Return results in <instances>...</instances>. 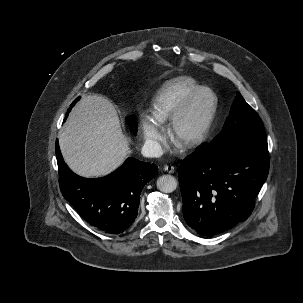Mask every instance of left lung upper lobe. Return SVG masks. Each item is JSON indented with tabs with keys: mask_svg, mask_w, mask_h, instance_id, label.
<instances>
[{
	"mask_svg": "<svg viewBox=\"0 0 303 303\" xmlns=\"http://www.w3.org/2000/svg\"><path fill=\"white\" fill-rule=\"evenodd\" d=\"M233 145L247 151L269 155L266 134L260 117L238 92L222 131L209 144L224 148Z\"/></svg>",
	"mask_w": 303,
	"mask_h": 303,
	"instance_id": "left-lung-upper-lobe-1",
	"label": "left lung upper lobe"
}]
</instances>
